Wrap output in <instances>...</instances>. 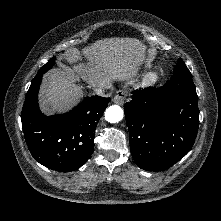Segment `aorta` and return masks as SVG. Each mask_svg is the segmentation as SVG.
<instances>
[{
	"mask_svg": "<svg viewBox=\"0 0 221 221\" xmlns=\"http://www.w3.org/2000/svg\"><path fill=\"white\" fill-rule=\"evenodd\" d=\"M123 109L118 105H112L105 111V119L110 123H117L123 119Z\"/></svg>",
	"mask_w": 221,
	"mask_h": 221,
	"instance_id": "762f6f07",
	"label": "aorta"
}]
</instances>
